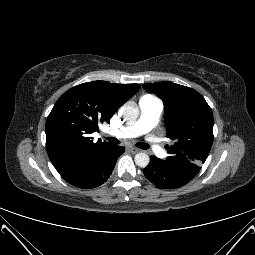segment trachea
Returning a JSON list of instances; mask_svg holds the SVG:
<instances>
[{"label": "trachea", "instance_id": "trachea-1", "mask_svg": "<svg viewBox=\"0 0 255 255\" xmlns=\"http://www.w3.org/2000/svg\"><path fill=\"white\" fill-rule=\"evenodd\" d=\"M107 140H108L109 142L115 143V144H119V143H120V141H119L118 139L114 138V137H109V138H107ZM136 146L139 147V148H141V149H148V148H149V145H148V144H146V143H141V142H140V143H137Z\"/></svg>", "mask_w": 255, "mask_h": 255}]
</instances>
